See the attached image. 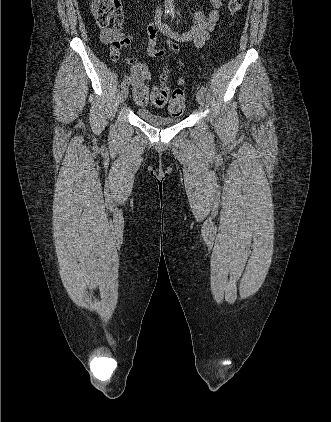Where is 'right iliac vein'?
<instances>
[{"label":"right iliac vein","instance_id":"obj_1","mask_svg":"<svg viewBox=\"0 0 331 422\" xmlns=\"http://www.w3.org/2000/svg\"><path fill=\"white\" fill-rule=\"evenodd\" d=\"M128 93H129L128 87L125 86L124 88H122V90L120 92V102L121 103L126 101V99L128 97Z\"/></svg>","mask_w":331,"mask_h":422}]
</instances>
